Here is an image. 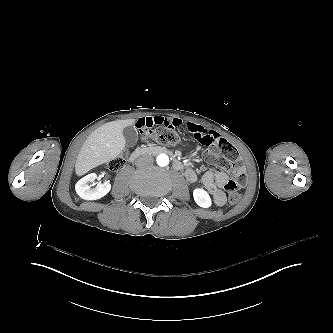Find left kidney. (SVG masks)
I'll use <instances>...</instances> for the list:
<instances>
[{"label": "left kidney", "instance_id": "5707ae66", "mask_svg": "<svg viewBox=\"0 0 333 333\" xmlns=\"http://www.w3.org/2000/svg\"><path fill=\"white\" fill-rule=\"evenodd\" d=\"M193 199L195 203L201 208L207 209L210 208L213 204L208 191L200 187L193 189Z\"/></svg>", "mask_w": 333, "mask_h": 333}]
</instances>
